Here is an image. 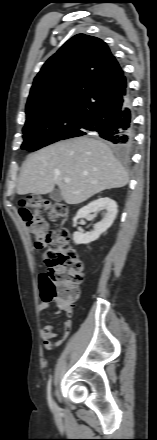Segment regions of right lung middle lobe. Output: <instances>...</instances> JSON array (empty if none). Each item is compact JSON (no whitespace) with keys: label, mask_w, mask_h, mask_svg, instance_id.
Listing matches in <instances>:
<instances>
[{"label":"right lung middle lobe","mask_w":157,"mask_h":440,"mask_svg":"<svg viewBox=\"0 0 157 440\" xmlns=\"http://www.w3.org/2000/svg\"><path fill=\"white\" fill-rule=\"evenodd\" d=\"M84 125L70 126L41 120L26 121L22 149L36 151L53 142L83 135Z\"/></svg>","instance_id":"right-lung-middle-lobe-1"}]
</instances>
